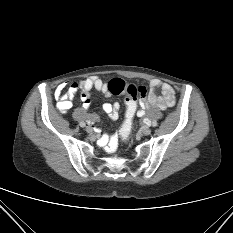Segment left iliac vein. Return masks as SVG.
Returning <instances> with one entry per match:
<instances>
[{
    "instance_id": "4c4485c4",
    "label": "left iliac vein",
    "mask_w": 233,
    "mask_h": 233,
    "mask_svg": "<svg viewBox=\"0 0 233 233\" xmlns=\"http://www.w3.org/2000/svg\"><path fill=\"white\" fill-rule=\"evenodd\" d=\"M142 133L144 135H149L151 133V128L149 127H145L143 130H142Z\"/></svg>"
}]
</instances>
